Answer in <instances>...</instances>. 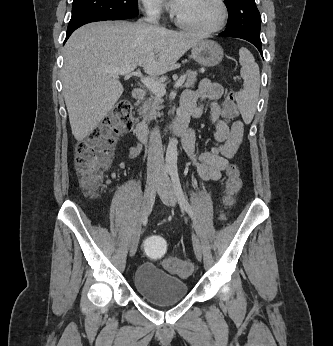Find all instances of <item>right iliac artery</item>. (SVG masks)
<instances>
[{
  "instance_id": "82829eb1",
  "label": "right iliac artery",
  "mask_w": 333,
  "mask_h": 346,
  "mask_svg": "<svg viewBox=\"0 0 333 346\" xmlns=\"http://www.w3.org/2000/svg\"><path fill=\"white\" fill-rule=\"evenodd\" d=\"M167 173H168V170L166 169V170L164 171V175L166 176V175H167Z\"/></svg>"
}]
</instances>
